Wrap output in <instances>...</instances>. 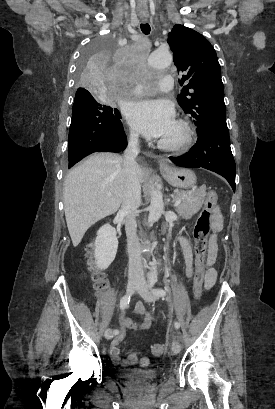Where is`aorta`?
Here are the masks:
<instances>
[{
    "label": "aorta",
    "instance_id": "1",
    "mask_svg": "<svg viewBox=\"0 0 275 409\" xmlns=\"http://www.w3.org/2000/svg\"><path fill=\"white\" fill-rule=\"evenodd\" d=\"M146 60H148V65L168 66L172 62V54H168V51H146ZM150 198L148 223H156V221H159L164 209L162 192L151 190ZM148 279H150V281L157 279L155 267H152Z\"/></svg>",
    "mask_w": 275,
    "mask_h": 409
}]
</instances>
